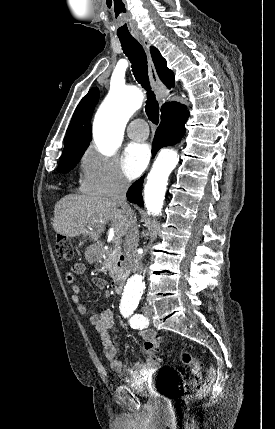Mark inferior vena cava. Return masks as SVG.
<instances>
[{"instance_id": "1", "label": "inferior vena cava", "mask_w": 275, "mask_h": 429, "mask_svg": "<svg viewBox=\"0 0 275 429\" xmlns=\"http://www.w3.org/2000/svg\"><path fill=\"white\" fill-rule=\"evenodd\" d=\"M129 188V182L121 177L116 185L112 200L119 204L127 217L126 233L124 240V252L128 267L133 272H141L143 269L141 256L137 253L139 243V230L137 219L132 208L126 202V192Z\"/></svg>"}]
</instances>
